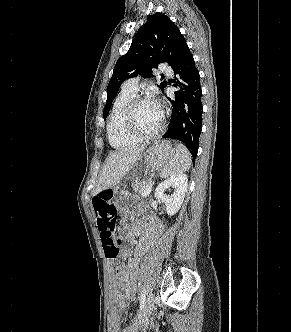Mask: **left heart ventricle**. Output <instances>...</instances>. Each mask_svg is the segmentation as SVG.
<instances>
[{
    "mask_svg": "<svg viewBox=\"0 0 291 332\" xmlns=\"http://www.w3.org/2000/svg\"><path fill=\"white\" fill-rule=\"evenodd\" d=\"M160 124L161 112L157 103L145 101L139 105L136 113V125L141 132L152 133Z\"/></svg>",
    "mask_w": 291,
    "mask_h": 332,
    "instance_id": "1",
    "label": "left heart ventricle"
}]
</instances>
